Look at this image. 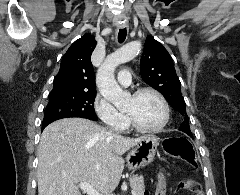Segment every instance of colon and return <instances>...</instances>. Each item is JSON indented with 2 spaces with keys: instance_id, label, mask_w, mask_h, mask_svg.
Here are the masks:
<instances>
[{
  "instance_id": "1",
  "label": "colon",
  "mask_w": 240,
  "mask_h": 195,
  "mask_svg": "<svg viewBox=\"0 0 240 195\" xmlns=\"http://www.w3.org/2000/svg\"><path fill=\"white\" fill-rule=\"evenodd\" d=\"M163 149L166 154L184 160L192 168L198 165V159L191 143L186 138H172L164 140ZM167 171H158V183L155 195H165L167 191ZM188 191L194 195H203L201 185L194 180H188Z\"/></svg>"
}]
</instances>
